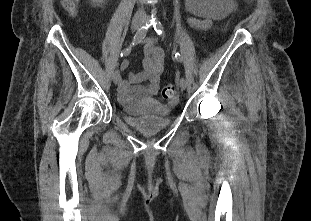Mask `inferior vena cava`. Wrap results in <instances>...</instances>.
<instances>
[{
  "label": "inferior vena cava",
  "mask_w": 311,
  "mask_h": 221,
  "mask_svg": "<svg viewBox=\"0 0 311 221\" xmlns=\"http://www.w3.org/2000/svg\"><path fill=\"white\" fill-rule=\"evenodd\" d=\"M145 10L144 8H139V10H136L135 16H144Z\"/></svg>",
  "instance_id": "602c4592"
}]
</instances>
